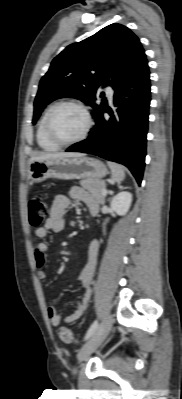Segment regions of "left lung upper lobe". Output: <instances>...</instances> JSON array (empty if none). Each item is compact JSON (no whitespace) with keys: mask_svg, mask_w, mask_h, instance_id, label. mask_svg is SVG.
<instances>
[{"mask_svg":"<svg viewBox=\"0 0 182 399\" xmlns=\"http://www.w3.org/2000/svg\"><path fill=\"white\" fill-rule=\"evenodd\" d=\"M146 61L138 37L121 24L106 26L67 46L53 59L40 81L32 122L37 121L47 104L63 97L90 104L95 110L94 118L107 106L103 96L100 105L95 103L98 89L111 85L116 90Z\"/></svg>","mask_w":182,"mask_h":399,"instance_id":"1","label":"left lung upper lobe"}]
</instances>
